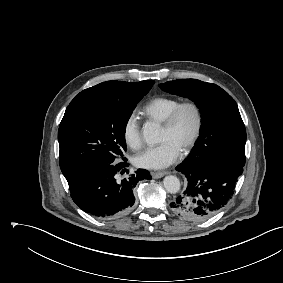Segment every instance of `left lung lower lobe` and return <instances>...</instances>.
<instances>
[{
  "instance_id": "left-lung-lower-lobe-1",
  "label": "left lung lower lobe",
  "mask_w": 283,
  "mask_h": 283,
  "mask_svg": "<svg viewBox=\"0 0 283 283\" xmlns=\"http://www.w3.org/2000/svg\"><path fill=\"white\" fill-rule=\"evenodd\" d=\"M187 179L186 190L170 203L171 210L188 221H204L215 215L232 195L243 167L228 162H213L190 168L176 167Z\"/></svg>"
}]
</instances>
